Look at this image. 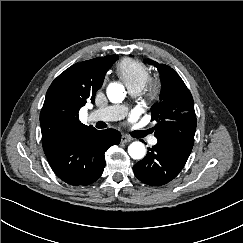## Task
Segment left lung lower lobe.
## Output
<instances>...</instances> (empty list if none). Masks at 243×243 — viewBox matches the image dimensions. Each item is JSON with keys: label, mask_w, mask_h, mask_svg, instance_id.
I'll use <instances>...</instances> for the list:
<instances>
[{"label": "left lung lower lobe", "mask_w": 243, "mask_h": 243, "mask_svg": "<svg viewBox=\"0 0 243 243\" xmlns=\"http://www.w3.org/2000/svg\"><path fill=\"white\" fill-rule=\"evenodd\" d=\"M189 155L163 143L148 149L144 159L133 166L135 176L143 183L160 186L173 180L184 167Z\"/></svg>", "instance_id": "1"}]
</instances>
